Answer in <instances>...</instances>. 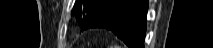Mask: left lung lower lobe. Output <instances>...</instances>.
<instances>
[{
  "mask_svg": "<svg viewBox=\"0 0 213 48\" xmlns=\"http://www.w3.org/2000/svg\"><path fill=\"white\" fill-rule=\"evenodd\" d=\"M147 9V0H112L91 17L83 30L106 28L128 48H144Z\"/></svg>",
  "mask_w": 213,
  "mask_h": 48,
  "instance_id": "0a47b994",
  "label": "left lung lower lobe"
}]
</instances>
